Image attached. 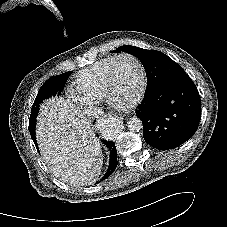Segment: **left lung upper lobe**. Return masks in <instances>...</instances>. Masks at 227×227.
<instances>
[{
    "label": "left lung upper lobe",
    "mask_w": 227,
    "mask_h": 227,
    "mask_svg": "<svg viewBox=\"0 0 227 227\" xmlns=\"http://www.w3.org/2000/svg\"><path fill=\"white\" fill-rule=\"evenodd\" d=\"M127 52L140 59L147 75V91L165 81L186 74L183 68L166 54L156 51L125 45L113 52Z\"/></svg>",
    "instance_id": "obj_1"
}]
</instances>
